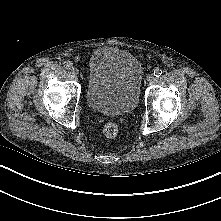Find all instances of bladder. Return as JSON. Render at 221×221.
I'll return each instance as SVG.
<instances>
[{"label":"bladder","mask_w":221,"mask_h":221,"mask_svg":"<svg viewBox=\"0 0 221 221\" xmlns=\"http://www.w3.org/2000/svg\"><path fill=\"white\" fill-rule=\"evenodd\" d=\"M143 68L130 52L116 47L96 49L88 64L86 102L104 115L132 112L139 101Z\"/></svg>","instance_id":"1"}]
</instances>
